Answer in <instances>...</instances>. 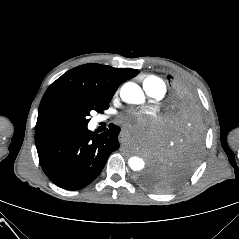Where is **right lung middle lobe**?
<instances>
[{
	"label": "right lung middle lobe",
	"instance_id": "right-lung-middle-lobe-1",
	"mask_svg": "<svg viewBox=\"0 0 239 239\" xmlns=\"http://www.w3.org/2000/svg\"><path fill=\"white\" fill-rule=\"evenodd\" d=\"M107 108H109L108 104L91 103L78 110L57 112L44 121L42 131H55L87 125L90 121L88 117L92 110L102 112Z\"/></svg>",
	"mask_w": 239,
	"mask_h": 239
}]
</instances>
